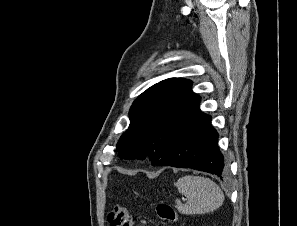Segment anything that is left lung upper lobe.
Returning a JSON list of instances; mask_svg holds the SVG:
<instances>
[{"label": "left lung upper lobe", "instance_id": "5c2ea615", "mask_svg": "<svg viewBox=\"0 0 297 226\" xmlns=\"http://www.w3.org/2000/svg\"><path fill=\"white\" fill-rule=\"evenodd\" d=\"M191 86L189 80L169 78L151 86L133 102L129 128L117 143L121 158L149 156L155 165L163 157L180 126L200 102Z\"/></svg>", "mask_w": 297, "mask_h": 226}]
</instances>
